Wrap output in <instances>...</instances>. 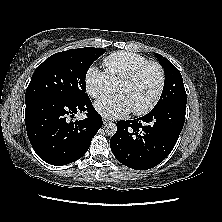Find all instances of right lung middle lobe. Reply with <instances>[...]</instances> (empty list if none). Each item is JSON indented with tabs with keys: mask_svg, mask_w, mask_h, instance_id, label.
<instances>
[{
	"mask_svg": "<svg viewBox=\"0 0 222 222\" xmlns=\"http://www.w3.org/2000/svg\"><path fill=\"white\" fill-rule=\"evenodd\" d=\"M105 49L85 47L51 55L35 70L25 94V103L41 96L67 100L87 98L85 77Z\"/></svg>",
	"mask_w": 222,
	"mask_h": 222,
	"instance_id": "1",
	"label": "right lung middle lobe"
}]
</instances>
